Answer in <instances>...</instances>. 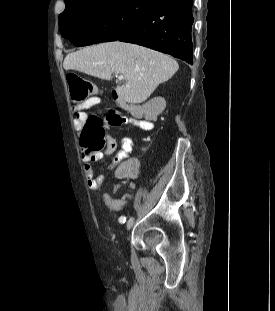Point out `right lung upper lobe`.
I'll use <instances>...</instances> for the list:
<instances>
[{"instance_id": "obj_1", "label": "right lung upper lobe", "mask_w": 275, "mask_h": 311, "mask_svg": "<svg viewBox=\"0 0 275 311\" xmlns=\"http://www.w3.org/2000/svg\"><path fill=\"white\" fill-rule=\"evenodd\" d=\"M73 1H81V0H65V3L68 4V3L73 2Z\"/></svg>"}]
</instances>
